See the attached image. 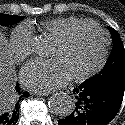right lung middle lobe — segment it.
<instances>
[{"label": "right lung middle lobe", "instance_id": "obj_1", "mask_svg": "<svg viewBox=\"0 0 125 125\" xmlns=\"http://www.w3.org/2000/svg\"><path fill=\"white\" fill-rule=\"evenodd\" d=\"M23 18L24 16H13V15L0 13V24L6 25V26L11 25L21 21Z\"/></svg>", "mask_w": 125, "mask_h": 125}]
</instances>
